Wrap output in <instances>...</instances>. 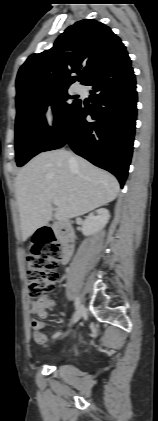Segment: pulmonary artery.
<instances>
[{
	"mask_svg": "<svg viewBox=\"0 0 158 421\" xmlns=\"http://www.w3.org/2000/svg\"><path fill=\"white\" fill-rule=\"evenodd\" d=\"M83 87L81 86V85H79V84H77L75 87H74V91L76 92V93H82L83 92Z\"/></svg>",
	"mask_w": 158,
	"mask_h": 421,
	"instance_id": "obj_1",
	"label": "pulmonary artery"
}]
</instances>
